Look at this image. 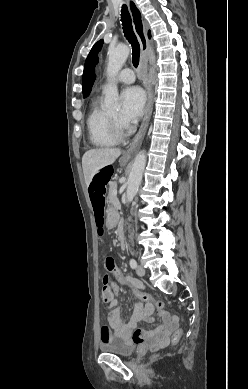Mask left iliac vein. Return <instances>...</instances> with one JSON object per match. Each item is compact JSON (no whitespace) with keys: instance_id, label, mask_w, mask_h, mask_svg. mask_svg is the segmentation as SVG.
<instances>
[{"instance_id":"4c4485c4","label":"left iliac vein","mask_w":248,"mask_h":389,"mask_svg":"<svg viewBox=\"0 0 248 389\" xmlns=\"http://www.w3.org/2000/svg\"><path fill=\"white\" fill-rule=\"evenodd\" d=\"M136 273L138 276H144L145 275V269L142 265H138L136 268Z\"/></svg>"}]
</instances>
